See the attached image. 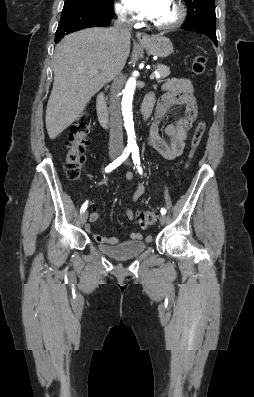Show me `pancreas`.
<instances>
[{"mask_svg":"<svg viewBox=\"0 0 254 397\" xmlns=\"http://www.w3.org/2000/svg\"><path fill=\"white\" fill-rule=\"evenodd\" d=\"M156 68L159 73V77L157 78L158 80L164 79L170 74V68L165 65L158 64Z\"/></svg>","mask_w":254,"mask_h":397,"instance_id":"obj_1","label":"pancreas"}]
</instances>
